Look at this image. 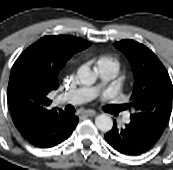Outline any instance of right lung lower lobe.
<instances>
[{
	"label": "right lung lower lobe",
	"mask_w": 173,
	"mask_h": 170,
	"mask_svg": "<svg viewBox=\"0 0 173 170\" xmlns=\"http://www.w3.org/2000/svg\"><path fill=\"white\" fill-rule=\"evenodd\" d=\"M77 124V116L62 111L30 121L17 129L30 144L49 148L66 140Z\"/></svg>",
	"instance_id": "98d812e1"
}]
</instances>
